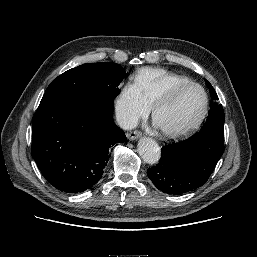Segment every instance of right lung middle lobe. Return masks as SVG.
Here are the masks:
<instances>
[{
    "mask_svg": "<svg viewBox=\"0 0 257 257\" xmlns=\"http://www.w3.org/2000/svg\"><path fill=\"white\" fill-rule=\"evenodd\" d=\"M126 72L117 63H86L72 68L48 86L40 103L62 97L88 96L102 98L114 103L119 94L118 85Z\"/></svg>",
    "mask_w": 257,
    "mask_h": 257,
    "instance_id": "1",
    "label": "right lung middle lobe"
}]
</instances>
